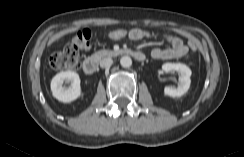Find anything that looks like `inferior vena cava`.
Wrapping results in <instances>:
<instances>
[{"mask_svg":"<svg viewBox=\"0 0 244 157\" xmlns=\"http://www.w3.org/2000/svg\"><path fill=\"white\" fill-rule=\"evenodd\" d=\"M113 64V60L110 57L103 58L100 61V67L101 68H109Z\"/></svg>","mask_w":244,"mask_h":157,"instance_id":"inferior-vena-cava-1","label":"inferior vena cava"}]
</instances>
